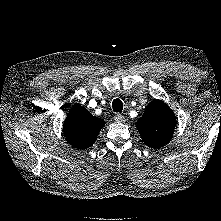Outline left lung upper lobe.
Returning a JSON list of instances; mask_svg holds the SVG:
<instances>
[{"mask_svg":"<svg viewBox=\"0 0 221 221\" xmlns=\"http://www.w3.org/2000/svg\"><path fill=\"white\" fill-rule=\"evenodd\" d=\"M175 125L174 112L163 101L154 100L137 122V129L147 146L158 148L171 140Z\"/></svg>","mask_w":221,"mask_h":221,"instance_id":"1","label":"left lung upper lobe"}]
</instances>
